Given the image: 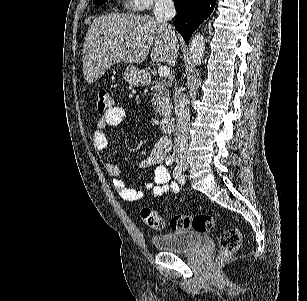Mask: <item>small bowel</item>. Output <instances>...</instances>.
Returning a JSON list of instances; mask_svg holds the SVG:
<instances>
[{"label":"small bowel","instance_id":"small-bowel-1","mask_svg":"<svg viewBox=\"0 0 307 301\" xmlns=\"http://www.w3.org/2000/svg\"><path fill=\"white\" fill-rule=\"evenodd\" d=\"M125 117V110L120 106H111L98 120L93 130L92 141L98 151L104 152L107 148L105 130L108 126L119 125ZM167 139L159 140L151 149L148 156L141 162L142 167H154L153 177L140 190L127 187L121 179V169L118 165L104 157V166L107 173L113 178V186L119 196L126 201H137L150 193L159 197L166 192L179 193L180 187L176 182H170V175L163 161L169 151Z\"/></svg>","mask_w":307,"mask_h":301}]
</instances>
